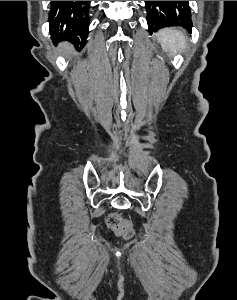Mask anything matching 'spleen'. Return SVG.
<instances>
[{"label": "spleen", "instance_id": "obj_1", "mask_svg": "<svg viewBox=\"0 0 237 300\" xmlns=\"http://www.w3.org/2000/svg\"><path fill=\"white\" fill-rule=\"evenodd\" d=\"M157 41H159L163 51L167 55H176V53H183L187 45V37L185 33L175 29V27H169V29H162L157 35Z\"/></svg>", "mask_w": 237, "mask_h": 300}]
</instances>
